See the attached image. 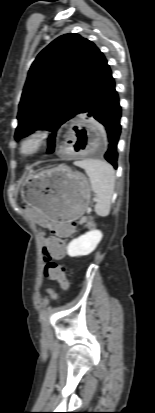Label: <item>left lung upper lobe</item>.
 <instances>
[{
	"label": "left lung upper lobe",
	"mask_w": 155,
	"mask_h": 413,
	"mask_svg": "<svg viewBox=\"0 0 155 413\" xmlns=\"http://www.w3.org/2000/svg\"><path fill=\"white\" fill-rule=\"evenodd\" d=\"M106 62L95 44L79 34H65L51 42L29 70L14 138L50 130L47 153H52L58 128L79 114Z\"/></svg>",
	"instance_id": "left-lung-upper-lobe-1"
}]
</instances>
